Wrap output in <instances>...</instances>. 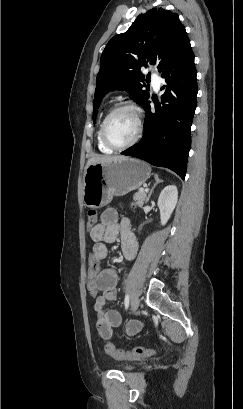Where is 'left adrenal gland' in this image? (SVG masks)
Listing matches in <instances>:
<instances>
[{
	"mask_svg": "<svg viewBox=\"0 0 243 409\" xmlns=\"http://www.w3.org/2000/svg\"><path fill=\"white\" fill-rule=\"evenodd\" d=\"M161 182H162V180H160V179L158 178V176H155V183H154L153 187L151 188V190H150V192H149V194H148L147 201L150 199V197H151V195H152V192L154 191L155 187H156L159 183H161Z\"/></svg>",
	"mask_w": 243,
	"mask_h": 409,
	"instance_id": "obj_1",
	"label": "left adrenal gland"
}]
</instances>
